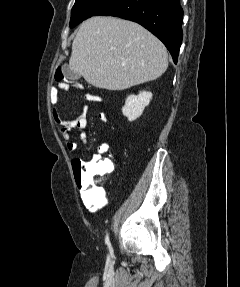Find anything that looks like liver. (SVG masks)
Segmentation results:
<instances>
[{
	"instance_id": "6515ba94",
	"label": "liver",
	"mask_w": 240,
	"mask_h": 287,
	"mask_svg": "<svg viewBox=\"0 0 240 287\" xmlns=\"http://www.w3.org/2000/svg\"><path fill=\"white\" fill-rule=\"evenodd\" d=\"M168 67L163 43L132 21L92 17L72 44L69 68L97 88L124 90L160 77Z\"/></svg>"
}]
</instances>
